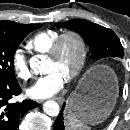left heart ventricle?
Wrapping results in <instances>:
<instances>
[{
  "label": "left heart ventricle",
  "mask_w": 130,
  "mask_h": 130,
  "mask_svg": "<svg viewBox=\"0 0 130 130\" xmlns=\"http://www.w3.org/2000/svg\"><path fill=\"white\" fill-rule=\"evenodd\" d=\"M79 45L73 38H67L56 59L48 58L47 71H59L65 78L74 69L79 58Z\"/></svg>",
  "instance_id": "1"
}]
</instances>
